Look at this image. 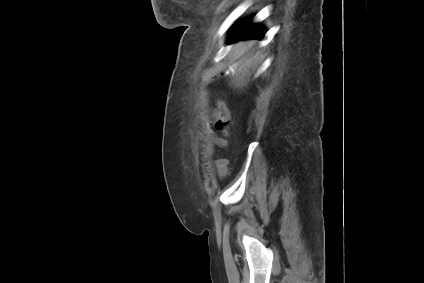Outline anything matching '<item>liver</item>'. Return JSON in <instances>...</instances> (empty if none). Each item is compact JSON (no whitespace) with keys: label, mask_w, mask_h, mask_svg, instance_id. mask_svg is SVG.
Here are the masks:
<instances>
[{"label":"liver","mask_w":424,"mask_h":283,"mask_svg":"<svg viewBox=\"0 0 424 283\" xmlns=\"http://www.w3.org/2000/svg\"><path fill=\"white\" fill-rule=\"evenodd\" d=\"M253 41L247 43L245 42H239L236 45H234L232 51L234 54V57L237 58L239 56H243L244 53H246L252 46ZM259 56V53H257L254 57H249L248 59H246L243 63L241 61L242 68H244V70H247V68H249L252 65V62L255 61ZM236 87H243L244 85H247V80L244 79L243 76H236L235 80L232 82Z\"/></svg>","instance_id":"liver-1"}]
</instances>
